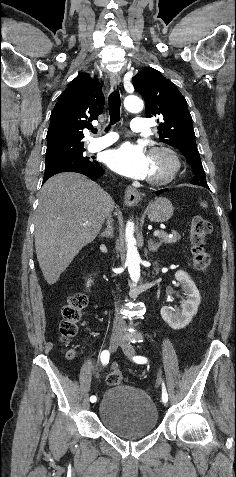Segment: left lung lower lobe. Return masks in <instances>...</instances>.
<instances>
[{"label": "left lung lower lobe", "instance_id": "0a47b994", "mask_svg": "<svg viewBox=\"0 0 236 477\" xmlns=\"http://www.w3.org/2000/svg\"><path fill=\"white\" fill-rule=\"evenodd\" d=\"M202 187L209 189L208 185H207V186H202ZM166 190H167V189H163V190L158 191V192H157V195L163 193V192L166 191Z\"/></svg>", "mask_w": 236, "mask_h": 477}]
</instances>
